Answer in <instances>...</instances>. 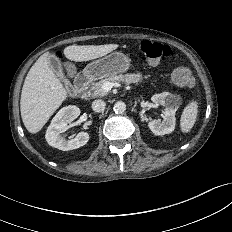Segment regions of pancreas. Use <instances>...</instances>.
Listing matches in <instances>:
<instances>
[{"label": "pancreas", "mask_w": 232, "mask_h": 232, "mask_svg": "<svg viewBox=\"0 0 232 232\" xmlns=\"http://www.w3.org/2000/svg\"><path fill=\"white\" fill-rule=\"evenodd\" d=\"M142 78H143V75L140 73H138V74L127 73L125 75H123V74L109 75V76L105 77L104 79H101L100 81L94 82L91 84L90 95L92 97H104V96H106L107 92L102 88L106 82H124L126 84H130V83L141 82Z\"/></svg>", "instance_id": "pancreas-1"}]
</instances>
